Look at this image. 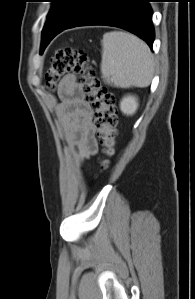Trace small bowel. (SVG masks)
I'll return each instance as SVG.
<instances>
[{"label":"small bowel","instance_id":"1","mask_svg":"<svg viewBox=\"0 0 195 299\" xmlns=\"http://www.w3.org/2000/svg\"><path fill=\"white\" fill-rule=\"evenodd\" d=\"M58 90L63 98L61 110L68 139L76 149V161L81 163L98 151L93 109L85 100L82 85L74 74L65 76Z\"/></svg>","mask_w":195,"mask_h":299}]
</instances>
